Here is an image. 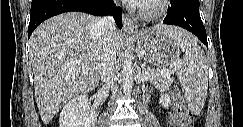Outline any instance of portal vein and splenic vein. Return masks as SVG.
Wrapping results in <instances>:
<instances>
[{"mask_svg":"<svg viewBox=\"0 0 243 127\" xmlns=\"http://www.w3.org/2000/svg\"><path fill=\"white\" fill-rule=\"evenodd\" d=\"M173 69H174V68H173ZM84 72H85V71H84ZM148 72H149V71H148L146 68L143 69V74L146 75V74H148ZM171 72H172L171 70H163V71H161V73L164 74V75H166V76H169Z\"/></svg>","mask_w":243,"mask_h":127,"instance_id":"portal-vein-and-splenic-vein-1","label":"portal vein and splenic vein"}]
</instances>
